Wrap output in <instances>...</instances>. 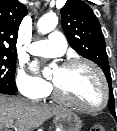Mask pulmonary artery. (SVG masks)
I'll list each match as a JSON object with an SVG mask.
<instances>
[{
    "label": "pulmonary artery",
    "mask_w": 117,
    "mask_h": 131,
    "mask_svg": "<svg viewBox=\"0 0 117 131\" xmlns=\"http://www.w3.org/2000/svg\"><path fill=\"white\" fill-rule=\"evenodd\" d=\"M66 47L67 44L63 34L58 31H53L47 39L31 43L28 51L37 56L55 57L62 55Z\"/></svg>",
    "instance_id": "obj_1"
}]
</instances>
